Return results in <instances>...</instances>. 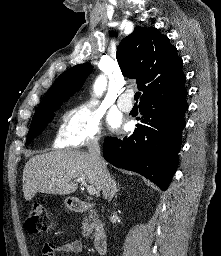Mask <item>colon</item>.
Listing matches in <instances>:
<instances>
[{
  "label": "colon",
  "instance_id": "colon-1",
  "mask_svg": "<svg viewBox=\"0 0 221 256\" xmlns=\"http://www.w3.org/2000/svg\"><path fill=\"white\" fill-rule=\"evenodd\" d=\"M51 227V219L42 204L31 205L25 221V228L30 233L46 232Z\"/></svg>",
  "mask_w": 221,
  "mask_h": 256
}]
</instances>
